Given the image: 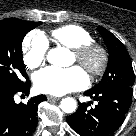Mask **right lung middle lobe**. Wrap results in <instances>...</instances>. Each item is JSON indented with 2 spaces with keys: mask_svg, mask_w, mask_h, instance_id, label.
I'll list each match as a JSON object with an SVG mask.
<instances>
[{
  "mask_svg": "<svg viewBox=\"0 0 136 136\" xmlns=\"http://www.w3.org/2000/svg\"><path fill=\"white\" fill-rule=\"evenodd\" d=\"M40 24L19 19L0 24V92L14 91L22 86L24 82L20 76L28 79L22 59V41Z\"/></svg>",
  "mask_w": 136,
  "mask_h": 136,
  "instance_id": "obj_1",
  "label": "right lung middle lobe"
}]
</instances>
